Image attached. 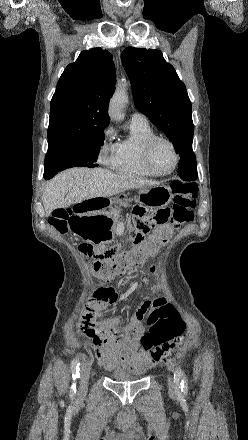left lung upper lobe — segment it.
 <instances>
[{"instance_id": "left-lung-upper-lobe-1", "label": "left lung upper lobe", "mask_w": 248, "mask_h": 440, "mask_svg": "<svg viewBox=\"0 0 248 440\" xmlns=\"http://www.w3.org/2000/svg\"><path fill=\"white\" fill-rule=\"evenodd\" d=\"M121 59L137 109L174 144L180 156V177L196 179V159L192 151L194 125L184 83L159 50L127 47Z\"/></svg>"}]
</instances>
